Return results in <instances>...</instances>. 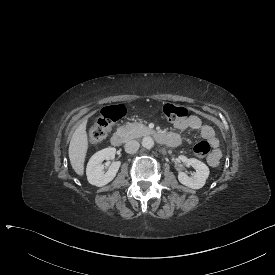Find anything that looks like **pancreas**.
Returning a JSON list of instances; mask_svg holds the SVG:
<instances>
[{
	"label": "pancreas",
	"mask_w": 275,
	"mask_h": 275,
	"mask_svg": "<svg viewBox=\"0 0 275 275\" xmlns=\"http://www.w3.org/2000/svg\"><path fill=\"white\" fill-rule=\"evenodd\" d=\"M116 134L123 138V140L129 141L137 139L145 135H151L152 130L143 125L142 123H131L130 125H121L116 129Z\"/></svg>",
	"instance_id": "pancreas-1"
}]
</instances>
